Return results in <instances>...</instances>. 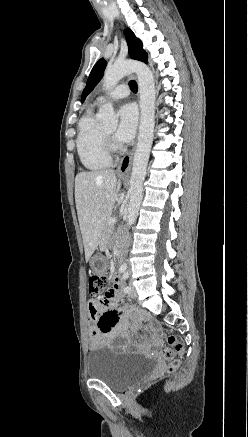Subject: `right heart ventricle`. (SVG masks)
I'll use <instances>...</instances> for the list:
<instances>
[{
	"label": "right heart ventricle",
	"instance_id": "obj_1",
	"mask_svg": "<svg viewBox=\"0 0 248 437\" xmlns=\"http://www.w3.org/2000/svg\"><path fill=\"white\" fill-rule=\"evenodd\" d=\"M76 146L80 161L87 170L99 171L111 164L104 131L92 112L86 113L79 122Z\"/></svg>",
	"mask_w": 248,
	"mask_h": 437
}]
</instances>
